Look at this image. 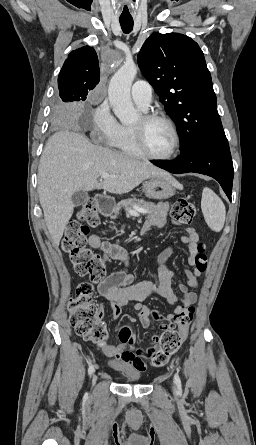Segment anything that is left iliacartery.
<instances>
[{
  "mask_svg": "<svg viewBox=\"0 0 256 445\" xmlns=\"http://www.w3.org/2000/svg\"><path fill=\"white\" fill-rule=\"evenodd\" d=\"M174 381H175L176 386H177V391L181 392L182 391V384H181L180 377H179V375L177 373L174 375Z\"/></svg>",
  "mask_w": 256,
  "mask_h": 445,
  "instance_id": "left-iliac-artery-1",
  "label": "left iliac artery"
}]
</instances>
